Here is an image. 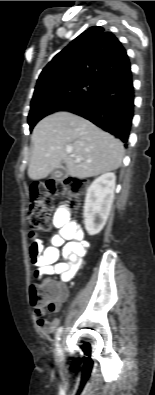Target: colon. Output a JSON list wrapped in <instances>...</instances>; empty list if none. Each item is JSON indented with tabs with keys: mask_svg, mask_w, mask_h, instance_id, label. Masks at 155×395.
Wrapping results in <instances>:
<instances>
[{
	"mask_svg": "<svg viewBox=\"0 0 155 395\" xmlns=\"http://www.w3.org/2000/svg\"><path fill=\"white\" fill-rule=\"evenodd\" d=\"M86 187L87 181L77 177H66L59 180H50L45 184L33 185L31 188V204L27 214L31 228L30 240H34L39 232L50 229L54 197L65 196L68 206L74 208L78 204V196ZM32 278L33 283L29 292L32 306L37 310L43 308V306L53 310L56 301L62 296V287L50 279H42L41 273H32Z\"/></svg>",
	"mask_w": 155,
	"mask_h": 395,
	"instance_id": "colon-1",
	"label": "colon"
}]
</instances>
